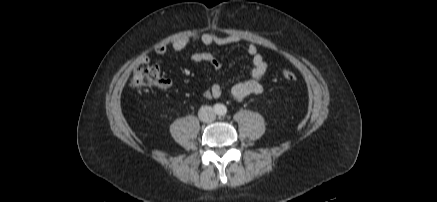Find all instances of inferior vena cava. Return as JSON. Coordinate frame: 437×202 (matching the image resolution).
Listing matches in <instances>:
<instances>
[{"label": "inferior vena cava", "mask_w": 437, "mask_h": 202, "mask_svg": "<svg viewBox=\"0 0 437 202\" xmlns=\"http://www.w3.org/2000/svg\"><path fill=\"white\" fill-rule=\"evenodd\" d=\"M199 119L203 122H212L215 120V112L210 106H202L198 112Z\"/></svg>", "instance_id": "602c4592"}]
</instances>
